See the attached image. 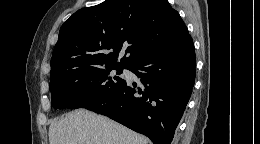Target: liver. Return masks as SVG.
Listing matches in <instances>:
<instances>
[{
  "mask_svg": "<svg viewBox=\"0 0 260 144\" xmlns=\"http://www.w3.org/2000/svg\"><path fill=\"white\" fill-rule=\"evenodd\" d=\"M49 144H148V140L107 117L78 109L50 125Z\"/></svg>",
  "mask_w": 260,
  "mask_h": 144,
  "instance_id": "6515ba94",
  "label": "liver"
}]
</instances>
